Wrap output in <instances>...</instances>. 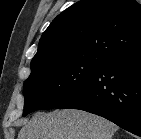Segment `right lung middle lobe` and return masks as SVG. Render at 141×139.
<instances>
[{
    "mask_svg": "<svg viewBox=\"0 0 141 139\" xmlns=\"http://www.w3.org/2000/svg\"><path fill=\"white\" fill-rule=\"evenodd\" d=\"M106 61L102 57L83 56L31 69L24 83L23 115L55 108L87 84Z\"/></svg>",
    "mask_w": 141,
    "mask_h": 139,
    "instance_id": "1",
    "label": "right lung middle lobe"
}]
</instances>
